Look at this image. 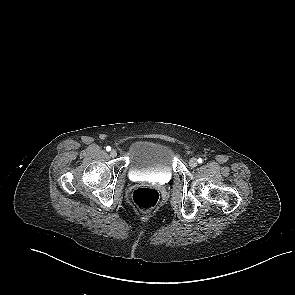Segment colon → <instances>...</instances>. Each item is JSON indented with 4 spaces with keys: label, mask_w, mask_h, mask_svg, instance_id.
Instances as JSON below:
<instances>
[{
    "label": "colon",
    "mask_w": 295,
    "mask_h": 295,
    "mask_svg": "<svg viewBox=\"0 0 295 295\" xmlns=\"http://www.w3.org/2000/svg\"><path fill=\"white\" fill-rule=\"evenodd\" d=\"M131 198L137 208L148 211L158 204L160 195L154 188L141 187L133 191Z\"/></svg>",
    "instance_id": "colon-1"
}]
</instances>
